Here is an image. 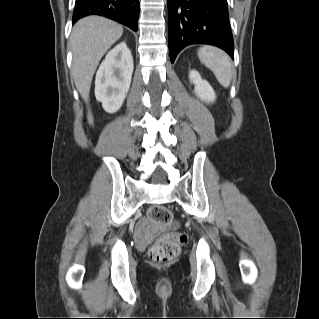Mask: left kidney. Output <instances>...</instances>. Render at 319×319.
Segmentation results:
<instances>
[{
  "instance_id": "1",
  "label": "left kidney",
  "mask_w": 319,
  "mask_h": 319,
  "mask_svg": "<svg viewBox=\"0 0 319 319\" xmlns=\"http://www.w3.org/2000/svg\"><path fill=\"white\" fill-rule=\"evenodd\" d=\"M189 79L195 85L194 92L198 98L207 103L215 101L216 95L213 88L206 80L201 78L197 71L191 70L189 72Z\"/></svg>"
}]
</instances>
